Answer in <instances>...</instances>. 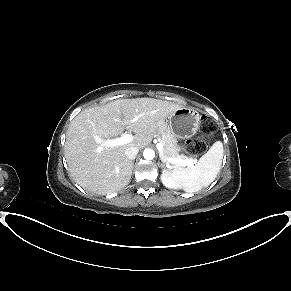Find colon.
Instances as JSON below:
<instances>
[{
  "label": "colon",
  "instance_id": "5ec220e1",
  "mask_svg": "<svg viewBox=\"0 0 291 291\" xmlns=\"http://www.w3.org/2000/svg\"><path fill=\"white\" fill-rule=\"evenodd\" d=\"M216 130L215 122L209 119L201 121L200 131L203 135L209 136ZM206 143L201 139H189L185 142L184 149L188 154L197 155L205 149Z\"/></svg>",
  "mask_w": 291,
  "mask_h": 291
}]
</instances>
